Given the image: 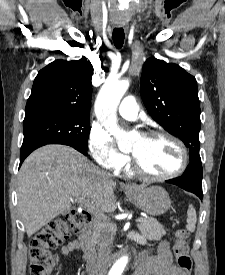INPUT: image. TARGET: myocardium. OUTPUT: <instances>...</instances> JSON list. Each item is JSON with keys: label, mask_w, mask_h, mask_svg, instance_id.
<instances>
[{"label": "myocardium", "mask_w": 225, "mask_h": 275, "mask_svg": "<svg viewBox=\"0 0 225 275\" xmlns=\"http://www.w3.org/2000/svg\"><path fill=\"white\" fill-rule=\"evenodd\" d=\"M145 137L149 138V139L165 138V139L170 140L172 143H174L177 146V148L179 149V152L181 155L180 164H179L178 168L176 170H174L173 172H170V173L164 174V175H153V174H149L146 171H144L143 168L141 167L139 161L135 157V155L132 154V169L135 174H137L138 176H140L143 179L150 180V181H164V180L173 179V178L179 176L180 174H182L186 170V168L188 166V151H187L185 144L180 139L173 136L172 134L162 132V131H152V132L146 134Z\"/></svg>", "instance_id": "f54148a6"}]
</instances>
